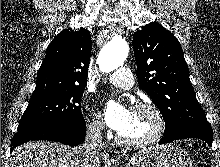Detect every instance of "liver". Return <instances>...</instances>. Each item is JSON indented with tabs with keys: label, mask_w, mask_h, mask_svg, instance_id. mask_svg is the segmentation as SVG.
Returning <instances> with one entry per match:
<instances>
[{
	"label": "liver",
	"mask_w": 220,
	"mask_h": 167,
	"mask_svg": "<svg viewBox=\"0 0 220 167\" xmlns=\"http://www.w3.org/2000/svg\"><path fill=\"white\" fill-rule=\"evenodd\" d=\"M99 158L85 162L80 147L30 141L12 151L9 167H100Z\"/></svg>",
	"instance_id": "6515ba94"
}]
</instances>
